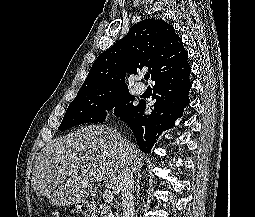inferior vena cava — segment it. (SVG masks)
Listing matches in <instances>:
<instances>
[{
	"mask_svg": "<svg viewBox=\"0 0 255 217\" xmlns=\"http://www.w3.org/2000/svg\"><path fill=\"white\" fill-rule=\"evenodd\" d=\"M121 195L123 217H134V178L133 173L123 158V170L121 180Z\"/></svg>",
	"mask_w": 255,
	"mask_h": 217,
	"instance_id": "1",
	"label": "inferior vena cava"
}]
</instances>
